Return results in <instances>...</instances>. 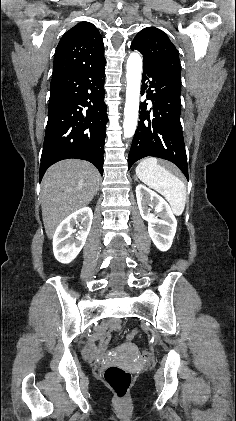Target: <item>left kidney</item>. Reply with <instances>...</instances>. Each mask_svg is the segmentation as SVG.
<instances>
[{"label": "left kidney", "mask_w": 236, "mask_h": 421, "mask_svg": "<svg viewBox=\"0 0 236 421\" xmlns=\"http://www.w3.org/2000/svg\"><path fill=\"white\" fill-rule=\"evenodd\" d=\"M136 196L139 213L144 221H148L150 239L159 251H168L173 243L177 227V221L168 202L144 184L136 186ZM150 206H153L154 213H151Z\"/></svg>", "instance_id": "5707ae66"}]
</instances>
